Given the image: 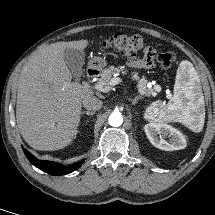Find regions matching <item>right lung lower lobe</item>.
<instances>
[{
    "label": "right lung lower lobe",
    "instance_id": "right-lung-lower-lobe-1",
    "mask_svg": "<svg viewBox=\"0 0 215 215\" xmlns=\"http://www.w3.org/2000/svg\"><path fill=\"white\" fill-rule=\"evenodd\" d=\"M24 153H25L26 157L29 159V161L34 166H36L40 170H42L48 174L54 175V176L65 175V174H68L70 172H73L74 170L78 169L82 165V163L84 162V159H83V160L76 162L72 165L63 166L57 162L38 160L27 150H25Z\"/></svg>",
    "mask_w": 215,
    "mask_h": 215
}]
</instances>
